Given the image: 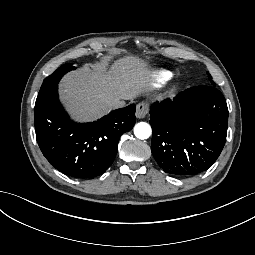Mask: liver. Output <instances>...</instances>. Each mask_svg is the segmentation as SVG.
I'll list each match as a JSON object with an SVG mask.
<instances>
[{
  "instance_id": "1",
  "label": "liver",
  "mask_w": 255,
  "mask_h": 255,
  "mask_svg": "<svg viewBox=\"0 0 255 255\" xmlns=\"http://www.w3.org/2000/svg\"><path fill=\"white\" fill-rule=\"evenodd\" d=\"M147 76L145 65L131 57L111 68L108 62L93 68L86 66L65 77L61 83L62 96L77 118L90 120L105 114L111 100H129L138 91H145Z\"/></svg>"
}]
</instances>
